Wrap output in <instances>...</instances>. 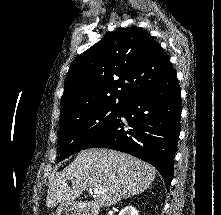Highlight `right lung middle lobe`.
I'll use <instances>...</instances> for the list:
<instances>
[{"label": "right lung middle lobe", "mask_w": 221, "mask_h": 215, "mask_svg": "<svg viewBox=\"0 0 221 215\" xmlns=\"http://www.w3.org/2000/svg\"><path fill=\"white\" fill-rule=\"evenodd\" d=\"M117 114L118 108L98 107L60 119V161L74 153L88 137L113 123Z\"/></svg>", "instance_id": "obj_1"}]
</instances>
